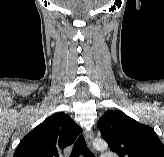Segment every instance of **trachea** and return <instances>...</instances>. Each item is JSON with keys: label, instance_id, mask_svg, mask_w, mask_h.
<instances>
[{"label": "trachea", "instance_id": "1", "mask_svg": "<svg viewBox=\"0 0 164 157\" xmlns=\"http://www.w3.org/2000/svg\"><path fill=\"white\" fill-rule=\"evenodd\" d=\"M80 154H82L84 157H94V154L87 147L83 135H81L74 144L70 157H79Z\"/></svg>", "mask_w": 164, "mask_h": 157}]
</instances>
